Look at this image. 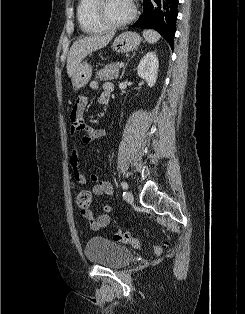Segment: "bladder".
<instances>
[{
  "label": "bladder",
  "instance_id": "31cf9c89",
  "mask_svg": "<svg viewBox=\"0 0 245 314\" xmlns=\"http://www.w3.org/2000/svg\"><path fill=\"white\" fill-rule=\"evenodd\" d=\"M84 252L89 262L112 269H121L134 259L132 250L100 236L91 237Z\"/></svg>",
  "mask_w": 245,
  "mask_h": 314
}]
</instances>
